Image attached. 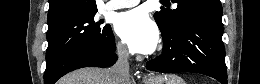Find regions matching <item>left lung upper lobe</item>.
Listing matches in <instances>:
<instances>
[{"label": "left lung upper lobe", "instance_id": "1", "mask_svg": "<svg viewBox=\"0 0 260 84\" xmlns=\"http://www.w3.org/2000/svg\"><path fill=\"white\" fill-rule=\"evenodd\" d=\"M177 8L174 10L162 8L154 14V18L161 31L173 32L183 20L192 14L222 15L220 0H175Z\"/></svg>", "mask_w": 260, "mask_h": 84}]
</instances>
